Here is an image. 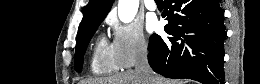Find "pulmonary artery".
<instances>
[{"mask_svg":"<svg viewBox=\"0 0 260 84\" xmlns=\"http://www.w3.org/2000/svg\"><path fill=\"white\" fill-rule=\"evenodd\" d=\"M144 3L146 8L150 11H155L157 9V4L154 0H145Z\"/></svg>","mask_w":260,"mask_h":84,"instance_id":"pulmonary-artery-1","label":"pulmonary artery"}]
</instances>
